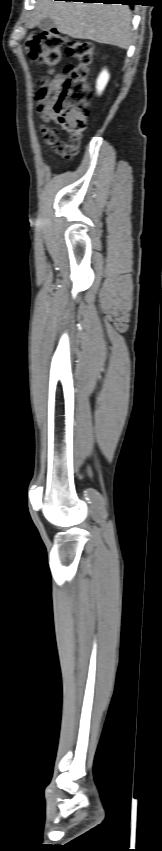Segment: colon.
I'll list each match as a JSON object with an SVG mask.
<instances>
[{"instance_id":"5ec220e1","label":"colon","mask_w":162,"mask_h":851,"mask_svg":"<svg viewBox=\"0 0 162 851\" xmlns=\"http://www.w3.org/2000/svg\"><path fill=\"white\" fill-rule=\"evenodd\" d=\"M25 50L32 59L49 66L58 65L64 52L78 62L76 66L65 69V79L54 105L56 122L69 135L70 140L78 145L89 114L90 92L86 79L95 56L94 44L67 37L52 29L30 34L25 41ZM75 154V150L71 151V157Z\"/></svg>"}]
</instances>
